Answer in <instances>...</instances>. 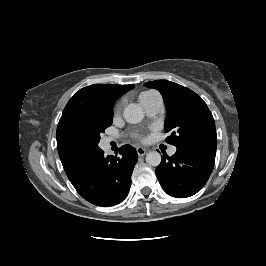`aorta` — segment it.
<instances>
[{
	"label": "aorta",
	"instance_id": "obj_1",
	"mask_svg": "<svg viewBox=\"0 0 266 266\" xmlns=\"http://www.w3.org/2000/svg\"><path fill=\"white\" fill-rule=\"evenodd\" d=\"M124 119L131 124H137L144 118V111L140 105L132 103L125 107L123 112ZM146 162L150 166H158L161 163V155L157 151L146 154Z\"/></svg>",
	"mask_w": 266,
	"mask_h": 266
}]
</instances>
